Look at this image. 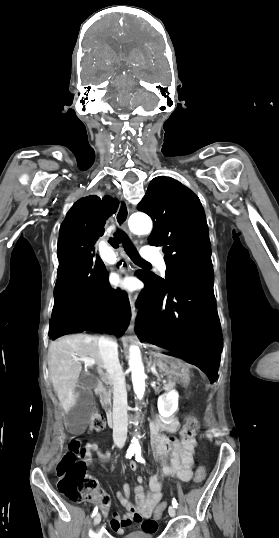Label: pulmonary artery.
Returning a JSON list of instances; mask_svg holds the SVG:
<instances>
[{"instance_id": "pulmonary-artery-1", "label": "pulmonary artery", "mask_w": 279, "mask_h": 538, "mask_svg": "<svg viewBox=\"0 0 279 538\" xmlns=\"http://www.w3.org/2000/svg\"><path fill=\"white\" fill-rule=\"evenodd\" d=\"M117 260H118V257L115 256V255H110V256H108V257L105 258V262H106L107 264L114 263V262H116Z\"/></svg>"}]
</instances>
